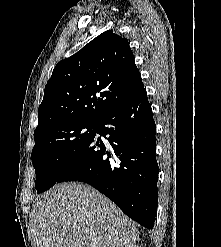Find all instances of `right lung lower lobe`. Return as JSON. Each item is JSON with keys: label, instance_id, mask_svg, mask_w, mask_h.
I'll return each mask as SVG.
<instances>
[{"label": "right lung lower lobe", "instance_id": "obj_1", "mask_svg": "<svg viewBox=\"0 0 221 247\" xmlns=\"http://www.w3.org/2000/svg\"><path fill=\"white\" fill-rule=\"evenodd\" d=\"M155 133L152 109L143 89L97 122L94 135L57 183L85 182L127 216L152 229L158 204Z\"/></svg>", "mask_w": 221, "mask_h": 247}]
</instances>
